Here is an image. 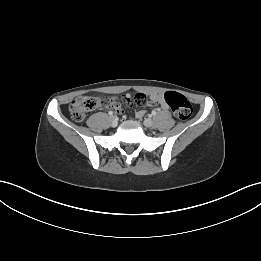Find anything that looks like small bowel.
<instances>
[{
	"label": "small bowel",
	"mask_w": 261,
	"mask_h": 261,
	"mask_svg": "<svg viewBox=\"0 0 261 261\" xmlns=\"http://www.w3.org/2000/svg\"><path fill=\"white\" fill-rule=\"evenodd\" d=\"M119 99L124 102L127 106H130L133 103L134 107H151L152 105H159L161 109L168 110L169 105L164 100V95L160 93H154L148 96L142 91L137 92L135 95H130L128 92H123ZM119 99L116 96L110 97L103 104L98 101V106L103 107L105 110H108L110 107L115 109V113L118 116H121L124 113V110L120 106ZM145 113L144 110L138 112V116L141 117Z\"/></svg>",
	"instance_id": "c3829d8e"
}]
</instances>
